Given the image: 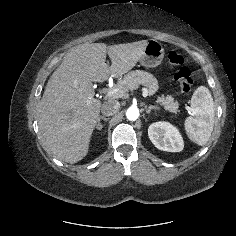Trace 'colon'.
Returning a JSON list of instances; mask_svg holds the SVG:
<instances>
[{
  "mask_svg": "<svg viewBox=\"0 0 236 236\" xmlns=\"http://www.w3.org/2000/svg\"><path fill=\"white\" fill-rule=\"evenodd\" d=\"M168 61L170 65L176 68L174 79L179 84L180 90L183 93L190 92L193 87V80L189 68L185 65L184 57L176 51H171L168 54Z\"/></svg>",
  "mask_w": 236,
  "mask_h": 236,
  "instance_id": "obj_1",
  "label": "colon"
}]
</instances>
